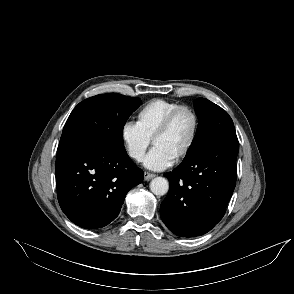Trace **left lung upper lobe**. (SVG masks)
<instances>
[{
    "instance_id": "5c2ea615",
    "label": "left lung upper lobe",
    "mask_w": 294,
    "mask_h": 294,
    "mask_svg": "<svg viewBox=\"0 0 294 294\" xmlns=\"http://www.w3.org/2000/svg\"><path fill=\"white\" fill-rule=\"evenodd\" d=\"M194 107L199 124L185 158L192 155L204 142L223 134L236 133L231 117L218 105L205 98H197Z\"/></svg>"
}]
</instances>
